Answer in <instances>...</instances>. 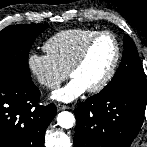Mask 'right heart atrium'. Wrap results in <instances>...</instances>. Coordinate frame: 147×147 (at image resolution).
Instances as JSON below:
<instances>
[{
    "label": "right heart atrium",
    "instance_id": "obj_1",
    "mask_svg": "<svg viewBox=\"0 0 147 147\" xmlns=\"http://www.w3.org/2000/svg\"><path fill=\"white\" fill-rule=\"evenodd\" d=\"M27 68L32 78L43 88L52 90L68 76L49 54L30 52L27 56Z\"/></svg>",
    "mask_w": 147,
    "mask_h": 147
}]
</instances>
